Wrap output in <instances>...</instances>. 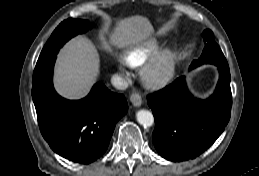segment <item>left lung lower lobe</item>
<instances>
[{
	"instance_id": "left-lung-lower-lobe-1",
	"label": "left lung lower lobe",
	"mask_w": 259,
	"mask_h": 176,
	"mask_svg": "<svg viewBox=\"0 0 259 176\" xmlns=\"http://www.w3.org/2000/svg\"><path fill=\"white\" fill-rule=\"evenodd\" d=\"M219 81L206 100L194 98L185 78L148 96L155 130L153 143L170 161L194 159L208 149L224 131L232 106L229 66H218Z\"/></svg>"
}]
</instances>
